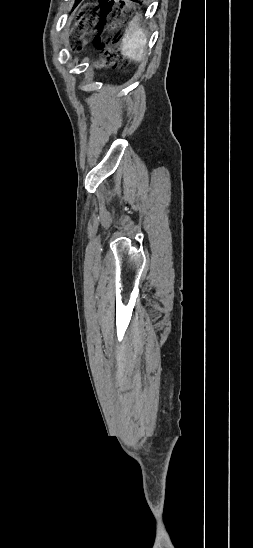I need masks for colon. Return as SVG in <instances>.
Here are the masks:
<instances>
[{"label":"colon","instance_id":"1","mask_svg":"<svg viewBox=\"0 0 253 548\" xmlns=\"http://www.w3.org/2000/svg\"><path fill=\"white\" fill-rule=\"evenodd\" d=\"M129 12L124 0H99V6L85 10L74 29V46L85 44V37L97 32L94 46L101 51L100 67H118L128 63L122 56L119 43L122 38L121 24ZM100 16V17H98Z\"/></svg>","mask_w":253,"mask_h":548}]
</instances>
